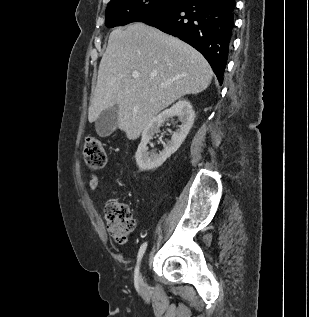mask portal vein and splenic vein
Segmentation results:
<instances>
[{"instance_id":"18ae733b","label":"portal vein and splenic vein","mask_w":309,"mask_h":317,"mask_svg":"<svg viewBox=\"0 0 309 317\" xmlns=\"http://www.w3.org/2000/svg\"><path fill=\"white\" fill-rule=\"evenodd\" d=\"M132 77L133 78H138L139 77V73L138 72H133L132 73Z\"/></svg>"}]
</instances>
